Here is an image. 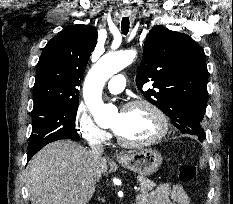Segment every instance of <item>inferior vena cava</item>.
I'll return each instance as SVG.
<instances>
[{
	"label": "inferior vena cava",
	"instance_id": "obj_1",
	"mask_svg": "<svg viewBox=\"0 0 233 204\" xmlns=\"http://www.w3.org/2000/svg\"><path fill=\"white\" fill-rule=\"evenodd\" d=\"M91 153L94 161H98L104 152V147L100 140H94L90 143ZM95 175L97 176L98 182L101 178L100 171L96 170Z\"/></svg>",
	"mask_w": 233,
	"mask_h": 204
}]
</instances>
